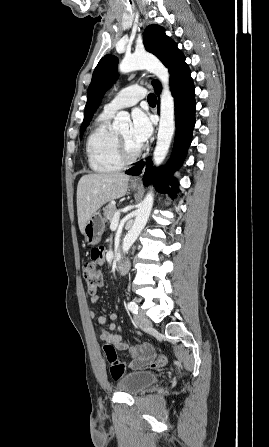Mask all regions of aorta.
Returning a JSON list of instances; mask_svg holds the SVG:
<instances>
[{"label":"aorta","mask_w":269,"mask_h":447,"mask_svg":"<svg viewBox=\"0 0 269 447\" xmlns=\"http://www.w3.org/2000/svg\"><path fill=\"white\" fill-rule=\"evenodd\" d=\"M135 70H148V72H152V74L157 76L160 82H162L163 90L160 100V122L156 148L153 152L154 164L155 166H159V164L164 162L168 154L175 132L174 98L169 90V72L156 56L147 54V52L125 56L119 64V72H121V74L135 72ZM129 122H131V120L127 112H118L116 118H114L112 128L113 130H129ZM152 206L153 194L152 192H149L146 198H144L139 210H137L134 224L123 239L122 249L124 253L130 249L139 233H141L142 229H144L147 224Z\"/></svg>","instance_id":"obj_1"}]
</instances>
